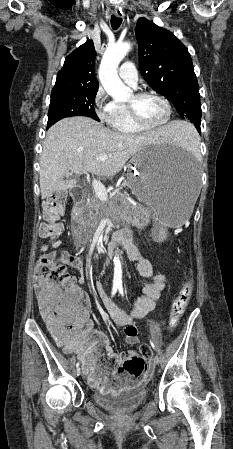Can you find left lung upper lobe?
I'll list each match as a JSON object with an SVG mask.
<instances>
[{
  "label": "left lung upper lobe",
  "mask_w": 233,
  "mask_h": 449,
  "mask_svg": "<svg viewBox=\"0 0 233 449\" xmlns=\"http://www.w3.org/2000/svg\"><path fill=\"white\" fill-rule=\"evenodd\" d=\"M140 72L153 90L166 96L178 114L200 130L199 86L191 56L170 31L146 18L136 25Z\"/></svg>",
  "instance_id": "1"
}]
</instances>
